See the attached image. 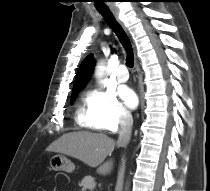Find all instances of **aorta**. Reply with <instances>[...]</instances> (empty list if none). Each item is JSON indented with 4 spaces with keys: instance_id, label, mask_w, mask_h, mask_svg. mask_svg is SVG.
<instances>
[{
    "instance_id": "obj_1",
    "label": "aorta",
    "mask_w": 210,
    "mask_h": 191,
    "mask_svg": "<svg viewBox=\"0 0 210 191\" xmlns=\"http://www.w3.org/2000/svg\"><path fill=\"white\" fill-rule=\"evenodd\" d=\"M104 75V66L103 65H100L96 68V76L98 78H102Z\"/></svg>"
}]
</instances>
